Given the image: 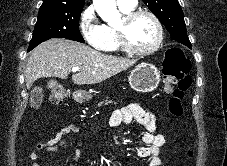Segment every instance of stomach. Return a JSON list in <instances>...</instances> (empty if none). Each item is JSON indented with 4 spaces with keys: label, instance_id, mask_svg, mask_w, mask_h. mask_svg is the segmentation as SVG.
Returning a JSON list of instances; mask_svg holds the SVG:
<instances>
[{
    "label": "stomach",
    "instance_id": "obj_1",
    "mask_svg": "<svg viewBox=\"0 0 227 166\" xmlns=\"http://www.w3.org/2000/svg\"><path fill=\"white\" fill-rule=\"evenodd\" d=\"M160 82V71L150 63L138 65L129 76V84L137 92L148 93L155 90ZM77 101H87L91 98L86 91H76Z\"/></svg>",
    "mask_w": 227,
    "mask_h": 166
}]
</instances>
